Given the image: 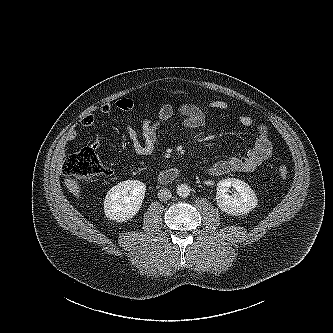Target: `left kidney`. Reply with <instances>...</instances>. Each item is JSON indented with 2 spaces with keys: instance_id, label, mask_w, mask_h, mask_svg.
Wrapping results in <instances>:
<instances>
[{
  "instance_id": "obj_1",
  "label": "left kidney",
  "mask_w": 333,
  "mask_h": 333,
  "mask_svg": "<svg viewBox=\"0 0 333 333\" xmlns=\"http://www.w3.org/2000/svg\"><path fill=\"white\" fill-rule=\"evenodd\" d=\"M230 187L234 188L231 195ZM217 206L222 212L230 215H244L257 205V197L250 186L242 180L235 178L223 179L217 183Z\"/></svg>"
}]
</instances>
